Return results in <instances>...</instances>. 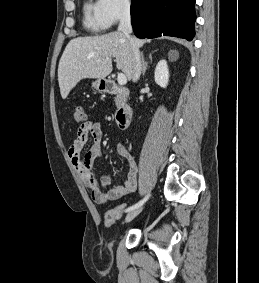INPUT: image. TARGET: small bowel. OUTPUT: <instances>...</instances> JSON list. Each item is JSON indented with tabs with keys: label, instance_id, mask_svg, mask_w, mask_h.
Masks as SVG:
<instances>
[{
	"label": "small bowel",
	"instance_id": "small-bowel-1",
	"mask_svg": "<svg viewBox=\"0 0 259 283\" xmlns=\"http://www.w3.org/2000/svg\"><path fill=\"white\" fill-rule=\"evenodd\" d=\"M102 136L101 124L98 121L88 120L78 128L76 138L68 150V158L72 166L87 185L93 199L100 204L131 195L136 192L138 187L137 164L124 144H118L116 147L117 154L125 158L128 164V174L124 185L107 189L111 183L110 174H105L100 180H97L93 171V163L102 157ZM89 138H92L93 142L86 153L82 155Z\"/></svg>",
	"mask_w": 259,
	"mask_h": 283
}]
</instances>
